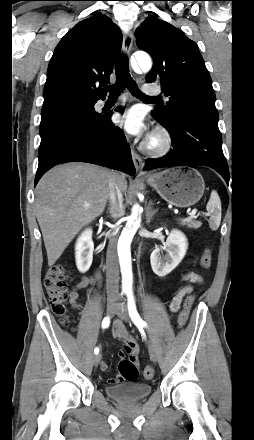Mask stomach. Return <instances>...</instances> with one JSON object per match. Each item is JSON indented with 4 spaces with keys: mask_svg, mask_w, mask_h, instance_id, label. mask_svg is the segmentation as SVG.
<instances>
[{
    "mask_svg": "<svg viewBox=\"0 0 254 440\" xmlns=\"http://www.w3.org/2000/svg\"><path fill=\"white\" fill-rule=\"evenodd\" d=\"M148 185L168 203L176 207H189L197 203L205 189L202 175L193 168H171L148 175Z\"/></svg>",
    "mask_w": 254,
    "mask_h": 440,
    "instance_id": "0dacf381",
    "label": "stomach"
}]
</instances>
